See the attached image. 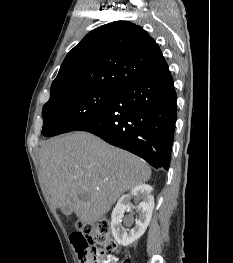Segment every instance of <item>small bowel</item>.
Masks as SVG:
<instances>
[{"label": "small bowel", "instance_id": "c3829d8e", "mask_svg": "<svg viewBox=\"0 0 233 263\" xmlns=\"http://www.w3.org/2000/svg\"><path fill=\"white\" fill-rule=\"evenodd\" d=\"M119 259L114 255H109L105 263H118Z\"/></svg>", "mask_w": 233, "mask_h": 263}]
</instances>
